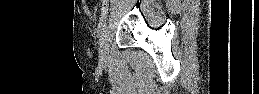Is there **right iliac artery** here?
Wrapping results in <instances>:
<instances>
[{
  "label": "right iliac artery",
  "instance_id": "1",
  "mask_svg": "<svg viewBox=\"0 0 259 94\" xmlns=\"http://www.w3.org/2000/svg\"><path fill=\"white\" fill-rule=\"evenodd\" d=\"M106 13H107V2L104 0L103 6H102V11H101V18L98 24V33L101 34L102 30L105 26V21H106Z\"/></svg>",
  "mask_w": 259,
  "mask_h": 94
}]
</instances>
